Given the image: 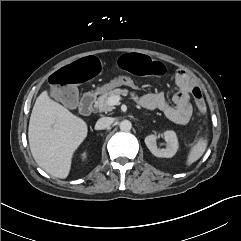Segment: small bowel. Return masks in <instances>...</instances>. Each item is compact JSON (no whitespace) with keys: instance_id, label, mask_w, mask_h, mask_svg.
Here are the masks:
<instances>
[{"instance_id":"small-bowel-1","label":"small bowel","mask_w":241,"mask_h":241,"mask_svg":"<svg viewBox=\"0 0 241 241\" xmlns=\"http://www.w3.org/2000/svg\"><path fill=\"white\" fill-rule=\"evenodd\" d=\"M175 79L179 91L172 98L173 105L163 92L145 94L139 99V104L147 109H159L174 123L184 125L192 115L190 93L193 95L194 90L200 89L191 75L183 69L176 71Z\"/></svg>"}]
</instances>
